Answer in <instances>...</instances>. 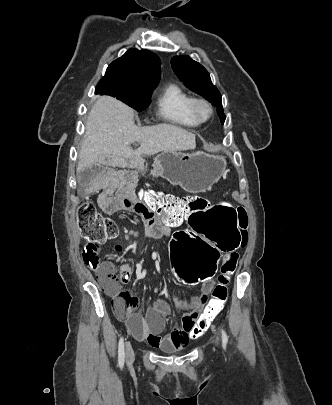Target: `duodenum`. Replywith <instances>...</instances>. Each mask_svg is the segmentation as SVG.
Wrapping results in <instances>:
<instances>
[{"instance_id":"1","label":"duodenum","mask_w":332,"mask_h":405,"mask_svg":"<svg viewBox=\"0 0 332 405\" xmlns=\"http://www.w3.org/2000/svg\"><path fill=\"white\" fill-rule=\"evenodd\" d=\"M150 217H151L153 220H155V221L160 220V217L157 216L154 211L150 214Z\"/></svg>"}]
</instances>
